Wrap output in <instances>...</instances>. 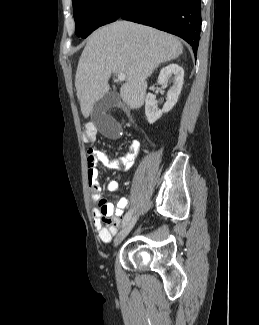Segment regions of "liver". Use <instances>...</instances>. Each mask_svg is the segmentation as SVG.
<instances>
[{"label":"liver","instance_id":"liver-1","mask_svg":"<svg viewBox=\"0 0 259 325\" xmlns=\"http://www.w3.org/2000/svg\"><path fill=\"white\" fill-rule=\"evenodd\" d=\"M182 51L177 38L152 27L129 21L100 27L89 36L75 76L83 116L90 115L94 103L108 92L109 78L117 73L126 75L120 88L123 103L140 108L146 94V79L158 65L176 59Z\"/></svg>","mask_w":259,"mask_h":325}]
</instances>
